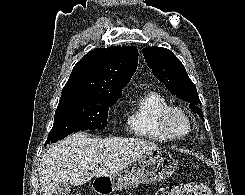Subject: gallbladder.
I'll return each mask as SVG.
<instances>
[{"instance_id":"bac80fb5","label":"gallbladder","mask_w":245,"mask_h":195,"mask_svg":"<svg viewBox=\"0 0 245 195\" xmlns=\"http://www.w3.org/2000/svg\"><path fill=\"white\" fill-rule=\"evenodd\" d=\"M71 190V186L69 183H60L56 189L54 194L55 195H68Z\"/></svg>"}]
</instances>
